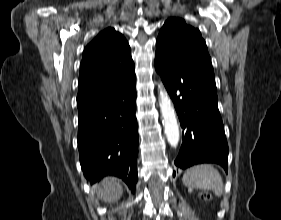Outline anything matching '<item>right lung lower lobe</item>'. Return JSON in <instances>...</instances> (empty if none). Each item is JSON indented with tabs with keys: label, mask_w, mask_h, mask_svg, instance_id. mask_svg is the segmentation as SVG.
<instances>
[{
	"label": "right lung lower lobe",
	"mask_w": 281,
	"mask_h": 220,
	"mask_svg": "<svg viewBox=\"0 0 281 220\" xmlns=\"http://www.w3.org/2000/svg\"><path fill=\"white\" fill-rule=\"evenodd\" d=\"M136 79L127 86L77 103L78 149L85 178L92 183L116 176L132 192L137 183Z\"/></svg>",
	"instance_id": "98d812e1"
}]
</instances>
